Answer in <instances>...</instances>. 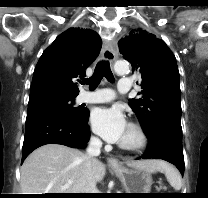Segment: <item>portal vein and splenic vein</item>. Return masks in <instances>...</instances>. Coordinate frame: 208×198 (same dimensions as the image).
<instances>
[{
  "mask_svg": "<svg viewBox=\"0 0 208 198\" xmlns=\"http://www.w3.org/2000/svg\"><path fill=\"white\" fill-rule=\"evenodd\" d=\"M71 184H72V181H68L67 184L63 188H65V187H67V186H69Z\"/></svg>",
  "mask_w": 208,
  "mask_h": 198,
  "instance_id": "18ae733b",
  "label": "portal vein and splenic vein"
}]
</instances>
